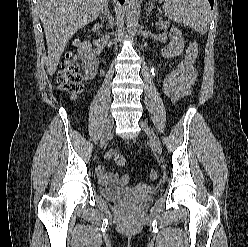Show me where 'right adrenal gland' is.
<instances>
[{"mask_svg": "<svg viewBox=\"0 0 248 247\" xmlns=\"http://www.w3.org/2000/svg\"><path fill=\"white\" fill-rule=\"evenodd\" d=\"M102 15L106 20H108L110 23H112L113 16H112V13L109 9L108 3L106 4L104 11H102Z\"/></svg>", "mask_w": 248, "mask_h": 247, "instance_id": "2a0ac1e0", "label": "right adrenal gland"}]
</instances>
